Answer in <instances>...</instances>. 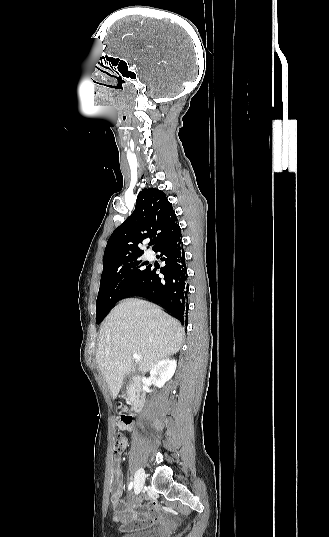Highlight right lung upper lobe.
Here are the masks:
<instances>
[{"instance_id": "1", "label": "right lung upper lobe", "mask_w": 329, "mask_h": 537, "mask_svg": "<svg viewBox=\"0 0 329 537\" xmlns=\"http://www.w3.org/2000/svg\"><path fill=\"white\" fill-rule=\"evenodd\" d=\"M180 230L177 217L161 190L143 189L137 196L134 212L110 236L104 252L103 267L127 263L139 258V244L154 238L155 251L162 242Z\"/></svg>"}]
</instances>
